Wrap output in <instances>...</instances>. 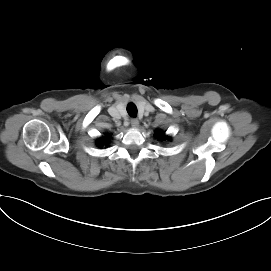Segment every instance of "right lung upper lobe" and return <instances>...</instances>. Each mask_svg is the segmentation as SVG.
Segmentation results:
<instances>
[{"label":"right lung upper lobe","mask_w":271,"mask_h":271,"mask_svg":"<svg viewBox=\"0 0 271 271\" xmlns=\"http://www.w3.org/2000/svg\"><path fill=\"white\" fill-rule=\"evenodd\" d=\"M109 139H110V136L102 137L97 143L98 146L102 147L104 145H108Z\"/></svg>","instance_id":"obj_1"}]
</instances>
